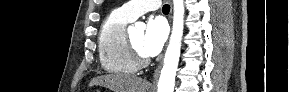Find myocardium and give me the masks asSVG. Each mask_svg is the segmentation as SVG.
Here are the masks:
<instances>
[{"instance_id":"obj_1","label":"myocardium","mask_w":289,"mask_h":92,"mask_svg":"<svg viewBox=\"0 0 289 92\" xmlns=\"http://www.w3.org/2000/svg\"><path fill=\"white\" fill-rule=\"evenodd\" d=\"M128 52L131 59L137 67H145L149 63V58L146 55H143L138 49L134 46L130 36L127 35L126 38Z\"/></svg>"}]
</instances>
